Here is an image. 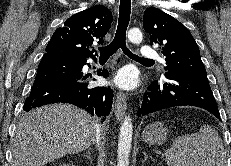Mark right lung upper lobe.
Returning <instances> with one entry per match:
<instances>
[{"label": "right lung upper lobe", "mask_w": 231, "mask_h": 166, "mask_svg": "<svg viewBox=\"0 0 231 166\" xmlns=\"http://www.w3.org/2000/svg\"><path fill=\"white\" fill-rule=\"evenodd\" d=\"M112 22L111 11L97 5L74 14L64 25L56 29L45 49L44 55H53L69 59H95L94 40L103 43V37L109 31Z\"/></svg>", "instance_id": "cb5924a9"}]
</instances>
